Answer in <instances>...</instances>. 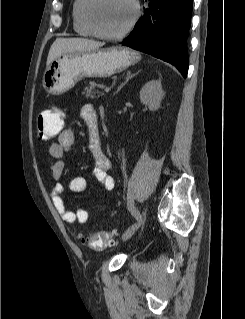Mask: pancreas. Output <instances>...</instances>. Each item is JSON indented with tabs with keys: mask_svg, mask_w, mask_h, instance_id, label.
<instances>
[{
	"mask_svg": "<svg viewBox=\"0 0 245 319\" xmlns=\"http://www.w3.org/2000/svg\"><path fill=\"white\" fill-rule=\"evenodd\" d=\"M102 86L100 84H97L93 81L89 82V86L84 89L83 94L86 96V98L94 99L96 97H99L100 95H103V93H100L97 88H101ZM96 94L98 96H96Z\"/></svg>",
	"mask_w": 245,
	"mask_h": 319,
	"instance_id": "pancreas-1",
	"label": "pancreas"
}]
</instances>
